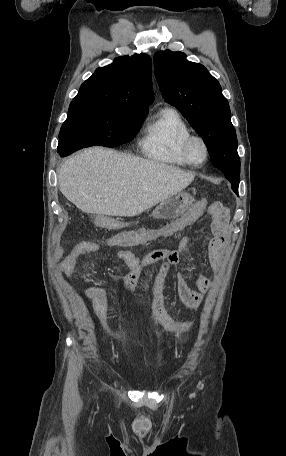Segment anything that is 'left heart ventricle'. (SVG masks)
<instances>
[{
	"label": "left heart ventricle",
	"instance_id": "obj_1",
	"mask_svg": "<svg viewBox=\"0 0 286 456\" xmlns=\"http://www.w3.org/2000/svg\"><path fill=\"white\" fill-rule=\"evenodd\" d=\"M189 154L191 159L196 162L200 163L204 160L205 151L203 145L199 141H193L190 145Z\"/></svg>",
	"mask_w": 286,
	"mask_h": 456
}]
</instances>
